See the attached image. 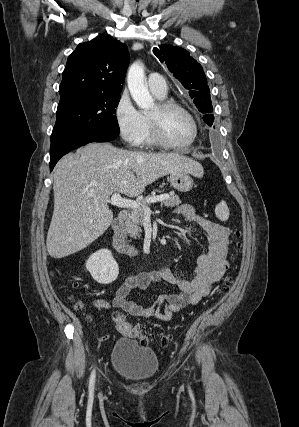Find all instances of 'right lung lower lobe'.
<instances>
[{"instance_id": "1", "label": "right lung lower lobe", "mask_w": 299, "mask_h": 427, "mask_svg": "<svg viewBox=\"0 0 299 427\" xmlns=\"http://www.w3.org/2000/svg\"><path fill=\"white\" fill-rule=\"evenodd\" d=\"M117 134L99 132H74L65 134L51 141L50 146V171L53 170L58 160L66 153L91 142H109Z\"/></svg>"}]
</instances>
